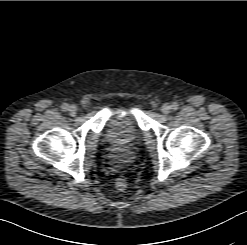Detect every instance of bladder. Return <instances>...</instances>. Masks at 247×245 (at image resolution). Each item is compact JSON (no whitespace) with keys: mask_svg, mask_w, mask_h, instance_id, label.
I'll return each mask as SVG.
<instances>
[{"mask_svg":"<svg viewBox=\"0 0 247 245\" xmlns=\"http://www.w3.org/2000/svg\"><path fill=\"white\" fill-rule=\"evenodd\" d=\"M104 129V138L109 144L127 146L139 138L135 117L130 109L111 116Z\"/></svg>","mask_w":247,"mask_h":245,"instance_id":"bladder-1","label":"bladder"}]
</instances>
